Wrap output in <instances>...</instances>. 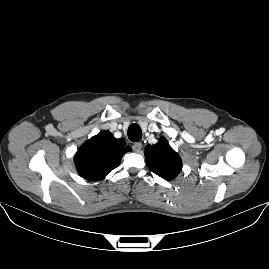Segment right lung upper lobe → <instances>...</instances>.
I'll list each match as a JSON object with an SVG mask.
<instances>
[{
	"label": "right lung upper lobe",
	"mask_w": 269,
	"mask_h": 269,
	"mask_svg": "<svg viewBox=\"0 0 269 269\" xmlns=\"http://www.w3.org/2000/svg\"><path fill=\"white\" fill-rule=\"evenodd\" d=\"M131 151L123 139H116L108 131L86 141L74 157L78 173L88 180H100L119 166L122 156Z\"/></svg>",
	"instance_id": "1"
}]
</instances>
